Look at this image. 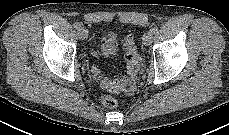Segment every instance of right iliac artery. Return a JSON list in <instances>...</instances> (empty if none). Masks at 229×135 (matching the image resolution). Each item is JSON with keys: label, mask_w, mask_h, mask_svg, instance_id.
<instances>
[{"label": "right iliac artery", "mask_w": 229, "mask_h": 135, "mask_svg": "<svg viewBox=\"0 0 229 135\" xmlns=\"http://www.w3.org/2000/svg\"><path fill=\"white\" fill-rule=\"evenodd\" d=\"M74 27L77 29V30H80L82 28V24L77 22L75 23Z\"/></svg>", "instance_id": "1"}]
</instances>
